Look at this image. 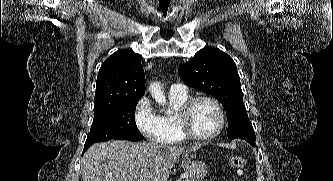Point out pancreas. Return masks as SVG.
<instances>
[{
  "mask_svg": "<svg viewBox=\"0 0 333 181\" xmlns=\"http://www.w3.org/2000/svg\"><path fill=\"white\" fill-rule=\"evenodd\" d=\"M184 181H196L194 178L190 177L188 178L187 180H184Z\"/></svg>",
  "mask_w": 333,
  "mask_h": 181,
  "instance_id": "cf45deb5",
  "label": "pancreas"
}]
</instances>
